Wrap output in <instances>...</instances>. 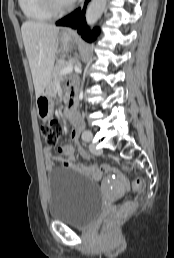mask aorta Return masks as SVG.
<instances>
[{"instance_id": "obj_1", "label": "aorta", "mask_w": 174, "mask_h": 258, "mask_svg": "<svg viewBox=\"0 0 174 258\" xmlns=\"http://www.w3.org/2000/svg\"><path fill=\"white\" fill-rule=\"evenodd\" d=\"M107 0H92L86 11V22L93 26L102 16L106 8Z\"/></svg>"}]
</instances>
